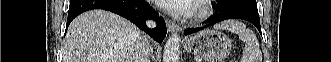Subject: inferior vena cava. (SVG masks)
Instances as JSON below:
<instances>
[{"label": "inferior vena cava", "mask_w": 331, "mask_h": 62, "mask_svg": "<svg viewBox=\"0 0 331 62\" xmlns=\"http://www.w3.org/2000/svg\"><path fill=\"white\" fill-rule=\"evenodd\" d=\"M146 24L150 28H154L156 26V22L153 20H148ZM151 50L152 49L148 39L146 37H142L137 42L135 47L134 62H150L149 54Z\"/></svg>", "instance_id": "inferior-vena-cava-1"}]
</instances>
